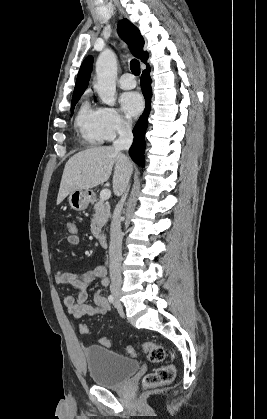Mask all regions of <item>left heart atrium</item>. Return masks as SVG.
I'll list each match as a JSON object with an SVG mask.
<instances>
[{
	"label": "left heart atrium",
	"instance_id": "39dd6f15",
	"mask_svg": "<svg viewBox=\"0 0 267 419\" xmlns=\"http://www.w3.org/2000/svg\"><path fill=\"white\" fill-rule=\"evenodd\" d=\"M120 104L127 116L135 117L142 111L144 101L138 92H125L120 96Z\"/></svg>",
	"mask_w": 267,
	"mask_h": 419
}]
</instances>
